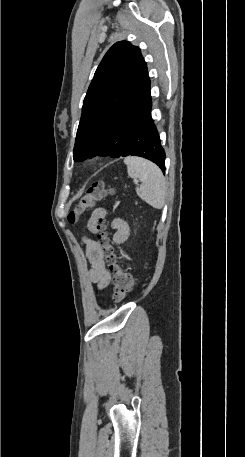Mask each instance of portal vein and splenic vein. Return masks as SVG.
Listing matches in <instances>:
<instances>
[{"label": "portal vein and splenic vein", "instance_id": "1", "mask_svg": "<svg viewBox=\"0 0 245 457\" xmlns=\"http://www.w3.org/2000/svg\"><path fill=\"white\" fill-rule=\"evenodd\" d=\"M134 182H138V180H136V178H134Z\"/></svg>", "mask_w": 245, "mask_h": 457}]
</instances>
